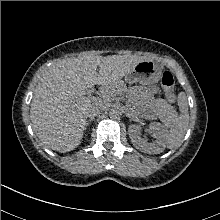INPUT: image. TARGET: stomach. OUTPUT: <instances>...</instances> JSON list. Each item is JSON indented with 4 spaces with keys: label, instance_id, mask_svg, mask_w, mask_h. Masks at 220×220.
Returning a JSON list of instances; mask_svg holds the SVG:
<instances>
[{
    "label": "stomach",
    "instance_id": "1",
    "mask_svg": "<svg viewBox=\"0 0 220 220\" xmlns=\"http://www.w3.org/2000/svg\"><path fill=\"white\" fill-rule=\"evenodd\" d=\"M161 74L162 68L158 64L150 60H143L125 75V81L149 85L158 82Z\"/></svg>",
    "mask_w": 220,
    "mask_h": 220
}]
</instances>
